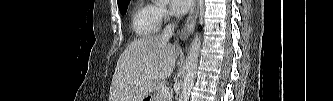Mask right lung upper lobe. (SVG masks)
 I'll return each mask as SVG.
<instances>
[{"mask_svg": "<svg viewBox=\"0 0 333 101\" xmlns=\"http://www.w3.org/2000/svg\"><path fill=\"white\" fill-rule=\"evenodd\" d=\"M124 1H126V0H117L118 4H121Z\"/></svg>", "mask_w": 333, "mask_h": 101, "instance_id": "cb5924a9", "label": "right lung upper lobe"}]
</instances>
